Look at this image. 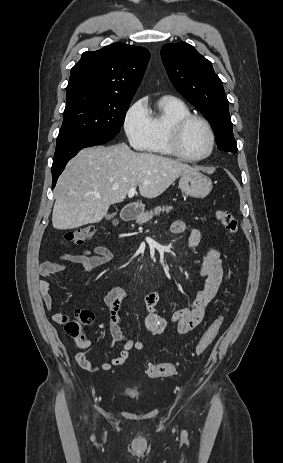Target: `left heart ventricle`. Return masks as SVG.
Wrapping results in <instances>:
<instances>
[{
    "mask_svg": "<svg viewBox=\"0 0 283 463\" xmlns=\"http://www.w3.org/2000/svg\"><path fill=\"white\" fill-rule=\"evenodd\" d=\"M181 145L191 157L205 155L210 148V136L205 126L198 121L189 124L183 133Z\"/></svg>",
    "mask_w": 283,
    "mask_h": 463,
    "instance_id": "1",
    "label": "left heart ventricle"
}]
</instances>
